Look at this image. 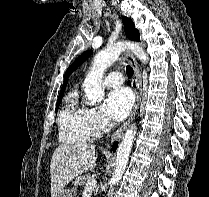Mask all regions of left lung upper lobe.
Returning <instances> with one entry per match:
<instances>
[{
    "label": "left lung upper lobe",
    "mask_w": 209,
    "mask_h": 197,
    "mask_svg": "<svg viewBox=\"0 0 209 197\" xmlns=\"http://www.w3.org/2000/svg\"><path fill=\"white\" fill-rule=\"evenodd\" d=\"M122 22L124 25V31L127 37L131 40L134 41H139L140 40V34L137 29H135L134 23L131 19L127 17L122 18ZM92 53V51H86L83 54H81L75 62L67 69L65 73L64 79H67L68 76L75 70L77 69L78 66H80L87 58L88 56Z\"/></svg>",
    "instance_id": "5c2ea615"
}]
</instances>
